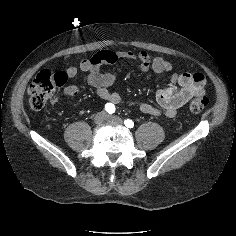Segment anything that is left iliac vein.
<instances>
[{
  "label": "left iliac vein",
  "mask_w": 236,
  "mask_h": 236,
  "mask_svg": "<svg viewBox=\"0 0 236 236\" xmlns=\"http://www.w3.org/2000/svg\"><path fill=\"white\" fill-rule=\"evenodd\" d=\"M106 120L108 122L115 123V124H120V125L123 124V120L115 115H108L106 117Z\"/></svg>",
  "instance_id": "left-iliac-vein-1"
}]
</instances>
